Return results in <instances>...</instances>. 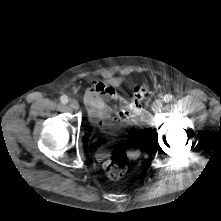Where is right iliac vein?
<instances>
[{
	"mask_svg": "<svg viewBox=\"0 0 221 221\" xmlns=\"http://www.w3.org/2000/svg\"><path fill=\"white\" fill-rule=\"evenodd\" d=\"M69 106L74 110L79 109V103L75 99L69 101Z\"/></svg>",
	"mask_w": 221,
	"mask_h": 221,
	"instance_id": "obj_1",
	"label": "right iliac vein"
}]
</instances>
